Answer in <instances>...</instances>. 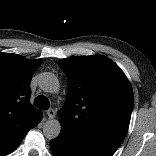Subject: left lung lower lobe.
I'll return each mask as SVG.
<instances>
[{"label": "left lung lower lobe", "mask_w": 156, "mask_h": 156, "mask_svg": "<svg viewBox=\"0 0 156 156\" xmlns=\"http://www.w3.org/2000/svg\"><path fill=\"white\" fill-rule=\"evenodd\" d=\"M55 156H112L116 148L99 140L77 135L61 126L59 136L50 141Z\"/></svg>", "instance_id": "obj_1"}]
</instances>
